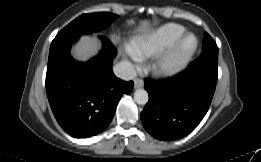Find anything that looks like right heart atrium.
I'll use <instances>...</instances> for the list:
<instances>
[{
  "instance_id": "right-heart-atrium-1",
  "label": "right heart atrium",
  "mask_w": 261,
  "mask_h": 162,
  "mask_svg": "<svg viewBox=\"0 0 261 162\" xmlns=\"http://www.w3.org/2000/svg\"><path fill=\"white\" fill-rule=\"evenodd\" d=\"M134 59L136 62H139L138 57L135 56Z\"/></svg>"
}]
</instances>
